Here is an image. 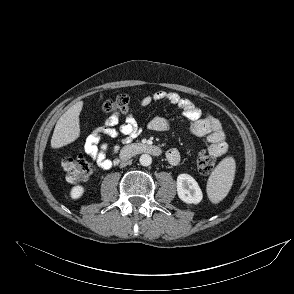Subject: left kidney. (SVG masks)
Returning a JSON list of instances; mask_svg holds the SVG:
<instances>
[{"instance_id":"1","label":"left kidney","mask_w":294,"mask_h":294,"mask_svg":"<svg viewBox=\"0 0 294 294\" xmlns=\"http://www.w3.org/2000/svg\"><path fill=\"white\" fill-rule=\"evenodd\" d=\"M178 197L187 204H198L203 198L197 181L189 174H180L177 177Z\"/></svg>"}]
</instances>
